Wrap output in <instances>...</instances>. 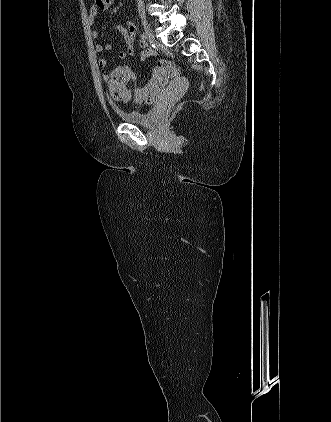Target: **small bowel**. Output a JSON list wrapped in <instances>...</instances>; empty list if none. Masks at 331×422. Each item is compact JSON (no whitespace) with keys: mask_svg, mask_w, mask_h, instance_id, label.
<instances>
[{"mask_svg":"<svg viewBox=\"0 0 331 422\" xmlns=\"http://www.w3.org/2000/svg\"><path fill=\"white\" fill-rule=\"evenodd\" d=\"M117 2V0H93L92 5L89 10L88 20L89 23L93 26L94 22L97 17H103L105 12ZM125 26H114L113 29L118 31L124 38L125 42V49L119 53V57L121 59H126L128 57H132L135 54L134 49V40L136 36V27L135 25L129 21H125ZM91 36L94 39L99 37V32L96 29H92ZM141 52L139 54V58L141 61L146 60L152 54V50L149 48L146 42L142 41L140 43ZM112 49L111 43L106 44H96L95 50L98 55V65L102 70L103 79L106 81L108 85L109 81V74L106 73L105 68L107 66V60L104 56L105 51H109ZM165 85V80L160 81L154 75L148 85L141 90V96L145 99L146 102H151L154 100L156 95L162 91Z\"/></svg>","mask_w":331,"mask_h":422,"instance_id":"c3829d8e","label":"small bowel"}]
</instances>
